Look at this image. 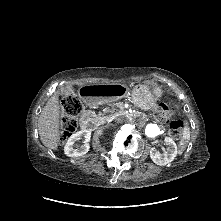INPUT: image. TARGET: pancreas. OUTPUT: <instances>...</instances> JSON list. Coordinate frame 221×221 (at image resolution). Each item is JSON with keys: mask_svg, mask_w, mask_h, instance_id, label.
Returning a JSON list of instances; mask_svg holds the SVG:
<instances>
[{"mask_svg": "<svg viewBox=\"0 0 221 221\" xmlns=\"http://www.w3.org/2000/svg\"><path fill=\"white\" fill-rule=\"evenodd\" d=\"M116 106H118V105H116ZM115 110H116V107H112V109L108 110V112H109L108 114L99 113L98 115H95L96 120L100 123H103L105 121L113 119L117 115H121L124 113L123 109L119 110L118 112H115Z\"/></svg>", "mask_w": 221, "mask_h": 221, "instance_id": "obj_1", "label": "pancreas"}]
</instances>
